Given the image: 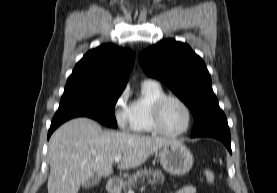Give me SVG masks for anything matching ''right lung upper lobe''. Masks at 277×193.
<instances>
[{
	"label": "right lung upper lobe",
	"instance_id": "right-lung-upper-lobe-1",
	"mask_svg": "<svg viewBox=\"0 0 277 193\" xmlns=\"http://www.w3.org/2000/svg\"><path fill=\"white\" fill-rule=\"evenodd\" d=\"M135 61L131 50L101 45L90 50L75 66L65 89L91 88L123 91Z\"/></svg>",
	"mask_w": 277,
	"mask_h": 193
}]
</instances>
